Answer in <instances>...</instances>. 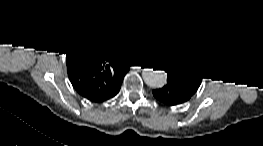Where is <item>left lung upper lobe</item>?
<instances>
[{
    "mask_svg": "<svg viewBox=\"0 0 263 146\" xmlns=\"http://www.w3.org/2000/svg\"><path fill=\"white\" fill-rule=\"evenodd\" d=\"M151 58L190 93H195L204 77V65L195 50L178 35H162L151 46Z\"/></svg>",
    "mask_w": 263,
    "mask_h": 146,
    "instance_id": "5c2ea615",
    "label": "left lung upper lobe"
}]
</instances>
